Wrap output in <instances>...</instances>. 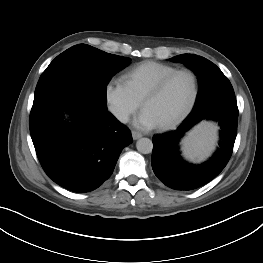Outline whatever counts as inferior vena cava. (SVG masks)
<instances>
[{"label": "inferior vena cava", "instance_id": "obj_1", "mask_svg": "<svg viewBox=\"0 0 263 263\" xmlns=\"http://www.w3.org/2000/svg\"><path fill=\"white\" fill-rule=\"evenodd\" d=\"M118 119L123 122V123H126L128 122V115L126 113H120L118 115Z\"/></svg>", "mask_w": 263, "mask_h": 263}]
</instances>
